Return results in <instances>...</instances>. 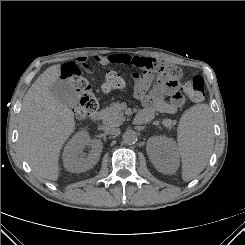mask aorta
Instances as JSON below:
<instances>
[{"label": "aorta", "mask_w": 245, "mask_h": 245, "mask_svg": "<svg viewBox=\"0 0 245 245\" xmlns=\"http://www.w3.org/2000/svg\"><path fill=\"white\" fill-rule=\"evenodd\" d=\"M122 139L125 144L131 145L136 143L138 139V134L134 130H127L126 132H124Z\"/></svg>", "instance_id": "762f6f07"}]
</instances>
